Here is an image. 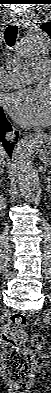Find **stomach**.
Listing matches in <instances>:
<instances>
[{
    "instance_id": "stomach-1",
    "label": "stomach",
    "mask_w": 51,
    "mask_h": 393,
    "mask_svg": "<svg viewBox=\"0 0 51 393\" xmlns=\"http://www.w3.org/2000/svg\"><path fill=\"white\" fill-rule=\"evenodd\" d=\"M39 159L42 163L51 165V145L48 144L40 150Z\"/></svg>"
}]
</instances>
